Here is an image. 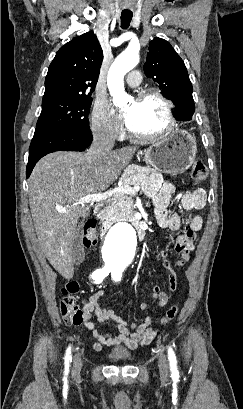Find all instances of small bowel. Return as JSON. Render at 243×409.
<instances>
[{
	"label": "small bowel",
	"instance_id": "small-bowel-1",
	"mask_svg": "<svg viewBox=\"0 0 243 409\" xmlns=\"http://www.w3.org/2000/svg\"><path fill=\"white\" fill-rule=\"evenodd\" d=\"M145 192L149 195L154 207L155 218L162 228L171 230H178L184 223L183 218L178 214H168L167 207L170 198L175 191L174 186L169 182H164L162 179L154 175L145 185ZM206 201V192L204 189H196L185 192L180 197L181 206L185 210L201 209L204 207ZM203 228V220L198 215L191 216L186 221V227L175 244V251L178 258L172 264L168 258L167 253L162 251L160 253L163 259V268L168 274V287L170 294L165 293L158 285L154 286L151 292V297L156 301L155 308H163L169 301L171 294H173L178 287L177 275L182 266L188 261L190 253L194 249V241L197 233ZM104 296L102 290L94 293L89 300L83 301L84 320L82 328L90 330L92 338L96 341L93 343L95 350H101L103 346L111 345H126L129 348L135 349L140 346L147 345L157 336L158 329L153 326L154 319L151 316L142 317L137 322L130 325L121 317L116 315L113 310L103 307L101 299ZM148 304L141 302L139 304L140 310L147 309ZM95 314L97 319L102 324H109L115 327L118 331L117 336L102 332L92 322L91 317Z\"/></svg>",
	"mask_w": 243,
	"mask_h": 409
}]
</instances>
